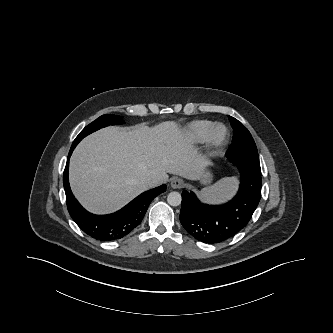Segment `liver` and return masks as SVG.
Returning a JSON list of instances; mask_svg holds the SVG:
<instances>
[{
    "label": "liver",
    "mask_w": 333,
    "mask_h": 333,
    "mask_svg": "<svg viewBox=\"0 0 333 333\" xmlns=\"http://www.w3.org/2000/svg\"><path fill=\"white\" fill-rule=\"evenodd\" d=\"M204 158L177 123L151 128L107 127L84 138L70 159L69 180L79 202L90 212H114L168 174L199 180ZM156 179L150 186L146 179Z\"/></svg>",
    "instance_id": "obj_1"
}]
</instances>
